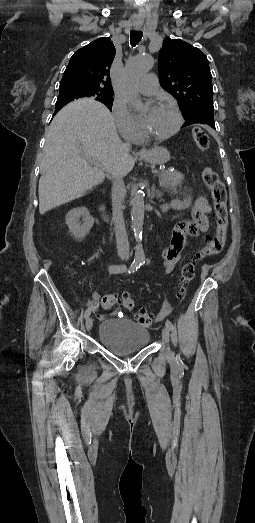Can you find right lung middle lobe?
Wrapping results in <instances>:
<instances>
[{
    "label": "right lung middle lobe",
    "instance_id": "obj_1",
    "mask_svg": "<svg viewBox=\"0 0 255 523\" xmlns=\"http://www.w3.org/2000/svg\"><path fill=\"white\" fill-rule=\"evenodd\" d=\"M81 97H94L95 100L104 103L110 110L112 108L113 98L112 95L96 94V93H84L79 91H60L58 96V102L69 103L74 99Z\"/></svg>",
    "mask_w": 255,
    "mask_h": 523
}]
</instances>
